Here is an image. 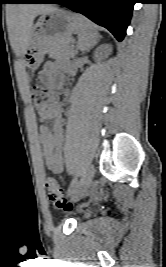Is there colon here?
<instances>
[{
	"label": "colon",
	"mask_w": 166,
	"mask_h": 267,
	"mask_svg": "<svg viewBox=\"0 0 166 267\" xmlns=\"http://www.w3.org/2000/svg\"><path fill=\"white\" fill-rule=\"evenodd\" d=\"M31 96L34 106L39 111L48 109L57 101L56 93L41 84H35L32 86ZM45 188L50 201L58 209L70 211L73 208V205L64 197L63 189L54 178L49 177L46 179Z\"/></svg>",
	"instance_id": "colon-1"
}]
</instances>
